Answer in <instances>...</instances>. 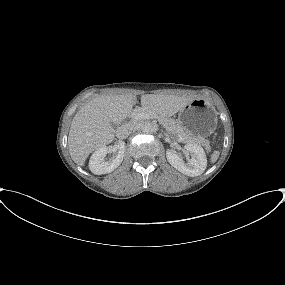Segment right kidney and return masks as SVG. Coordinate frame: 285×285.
<instances>
[{
    "label": "right kidney",
    "instance_id": "right-kidney-1",
    "mask_svg": "<svg viewBox=\"0 0 285 285\" xmlns=\"http://www.w3.org/2000/svg\"><path fill=\"white\" fill-rule=\"evenodd\" d=\"M125 152V143L119 142L113 146H104L97 149L89 161V169L96 175L107 174L115 170L123 161ZM112 157L105 160L107 154Z\"/></svg>",
    "mask_w": 285,
    "mask_h": 285
}]
</instances>
